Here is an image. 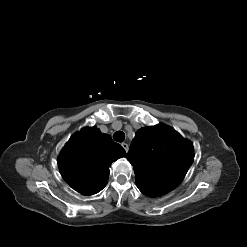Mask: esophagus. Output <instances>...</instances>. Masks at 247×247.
I'll list each match as a JSON object with an SVG mask.
<instances>
[{"instance_id": "esophagus-1", "label": "esophagus", "mask_w": 247, "mask_h": 247, "mask_svg": "<svg viewBox=\"0 0 247 247\" xmlns=\"http://www.w3.org/2000/svg\"><path fill=\"white\" fill-rule=\"evenodd\" d=\"M121 145H122V147L124 148V150L127 152L128 149H129L128 144H127V143H122Z\"/></svg>"}]
</instances>
